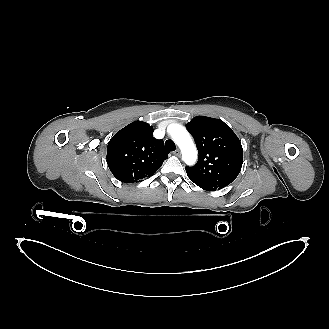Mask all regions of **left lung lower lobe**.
Wrapping results in <instances>:
<instances>
[{"label":"left lung lower lobe","instance_id":"1","mask_svg":"<svg viewBox=\"0 0 329 329\" xmlns=\"http://www.w3.org/2000/svg\"><path fill=\"white\" fill-rule=\"evenodd\" d=\"M196 185H198L200 188H202V189H204V190H207V191H215V190H209V189H207V188H205V187H203V186H201V185H199V184H196Z\"/></svg>","mask_w":329,"mask_h":329}]
</instances>
